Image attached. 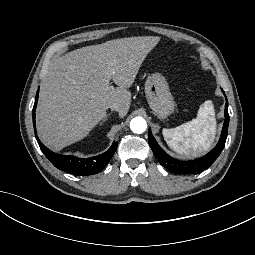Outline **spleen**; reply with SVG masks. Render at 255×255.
I'll list each match as a JSON object with an SVG mask.
<instances>
[{"mask_svg":"<svg viewBox=\"0 0 255 255\" xmlns=\"http://www.w3.org/2000/svg\"><path fill=\"white\" fill-rule=\"evenodd\" d=\"M216 132L214 106L211 101L204 102L198 111L197 119L178 127L162 130L168 146L177 153L193 156L206 153Z\"/></svg>","mask_w":255,"mask_h":255,"instance_id":"3e777b00","label":"spleen"}]
</instances>
